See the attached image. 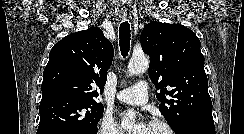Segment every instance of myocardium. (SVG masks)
I'll use <instances>...</instances> for the list:
<instances>
[{"label":"myocardium","mask_w":244,"mask_h":134,"mask_svg":"<svg viewBox=\"0 0 244 134\" xmlns=\"http://www.w3.org/2000/svg\"><path fill=\"white\" fill-rule=\"evenodd\" d=\"M152 125H156V126L162 127L163 129H165V131L168 134H176V132L173 129V127L168 122H166L164 120L156 119V120L152 121Z\"/></svg>","instance_id":"1"}]
</instances>
